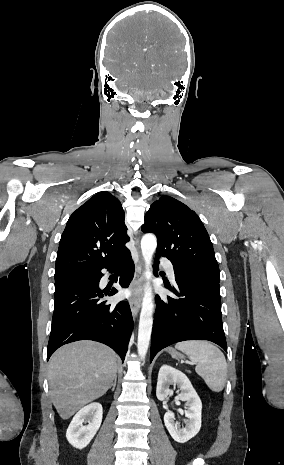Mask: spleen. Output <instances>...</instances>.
<instances>
[{"instance_id":"1","label":"spleen","mask_w":284,"mask_h":465,"mask_svg":"<svg viewBox=\"0 0 284 465\" xmlns=\"http://www.w3.org/2000/svg\"><path fill=\"white\" fill-rule=\"evenodd\" d=\"M175 349L182 351L192 363H196L197 375L204 379L211 391H223L226 385L227 363L220 349L208 341H183L177 343Z\"/></svg>"}]
</instances>
